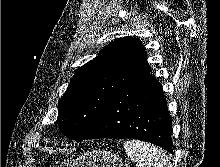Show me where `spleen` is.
I'll list each match as a JSON object with an SVG mask.
<instances>
[{
    "label": "spleen",
    "instance_id": "1",
    "mask_svg": "<svg viewBox=\"0 0 220 167\" xmlns=\"http://www.w3.org/2000/svg\"><path fill=\"white\" fill-rule=\"evenodd\" d=\"M124 149L127 156L136 162V167H172L168 155L149 143L127 140Z\"/></svg>",
    "mask_w": 220,
    "mask_h": 167
}]
</instances>
